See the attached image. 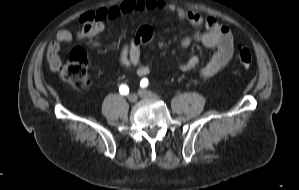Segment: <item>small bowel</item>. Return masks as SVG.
I'll use <instances>...</instances> for the list:
<instances>
[{
    "label": "small bowel",
    "mask_w": 299,
    "mask_h": 190,
    "mask_svg": "<svg viewBox=\"0 0 299 190\" xmlns=\"http://www.w3.org/2000/svg\"><path fill=\"white\" fill-rule=\"evenodd\" d=\"M165 10L173 12L180 20L188 21L193 26H204L206 32L197 33L182 41V49L189 48L194 42H199L214 53L203 65L199 72L202 77L209 78L224 68L232 58L234 52V39L231 31L221 25L214 16H202L198 13L177 7L172 2L162 0H126L120 4L103 7L97 10L85 11L80 16L82 26L73 33L71 30L62 29L56 34L47 50V58L53 71L61 67L59 51L62 43L70 42L74 37L82 40L92 39L101 34L105 29V22L116 19L127 13L139 11ZM152 40V29L142 25L136 34L124 42L119 51V61L126 69L133 71L138 76H146L150 72L147 64L142 62L141 53ZM200 63L199 56L192 54L185 62L178 65L182 72L195 71Z\"/></svg>",
    "instance_id": "obj_1"
}]
</instances>
